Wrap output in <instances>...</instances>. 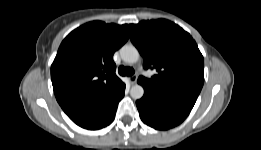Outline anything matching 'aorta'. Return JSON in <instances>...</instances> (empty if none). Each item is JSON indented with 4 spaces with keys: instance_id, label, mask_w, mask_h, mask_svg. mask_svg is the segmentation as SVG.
Returning a JSON list of instances; mask_svg holds the SVG:
<instances>
[{
    "instance_id": "obj_1",
    "label": "aorta",
    "mask_w": 261,
    "mask_h": 150,
    "mask_svg": "<svg viewBox=\"0 0 261 150\" xmlns=\"http://www.w3.org/2000/svg\"><path fill=\"white\" fill-rule=\"evenodd\" d=\"M120 55L124 62L133 64L139 59V52L133 45H124L120 49ZM130 95L133 99H140L144 95V89L141 85L135 84L131 87Z\"/></svg>"
}]
</instances>
